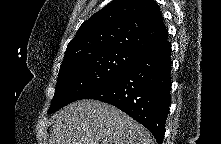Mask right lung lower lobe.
I'll return each mask as SVG.
<instances>
[{"label":"right lung lower lobe","mask_w":221,"mask_h":144,"mask_svg":"<svg viewBox=\"0 0 221 144\" xmlns=\"http://www.w3.org/2000/svg\"><path fill=\"white\" fill-rule=\"evenodd\" d=\"M171 44L168 39L141 53L110 81L82 99L112 104L145 126L162 144L171 101Z\"/></svg>","instance_id":"right-lung-lower-lobe-1"}]
</instances>
